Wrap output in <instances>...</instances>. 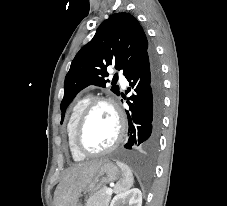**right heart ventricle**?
Wrapping results in <instances>:
<instances>
[{
	"label": "right heart ventricle",
	"mask_w": 227,
	"mask_h": 206,
	"mask_svg": "<svg viewBox=\"0 0 227 206\" xmlns=\"http://www.w3.org/2000/svg\"><path fill=\"white\" fill-rule=\"evenodd\" d=\"M90 100H91L90 96H83L80 99H78L70 111L68 121L66 124L67 144H68L70 154L75 161H82L83 159H85V156L80 154L74 148L73 134H74V129L79 119V116L82 113L85 106L90 102Z\"/></svg>",
	"instance_id": "obj_1"
}]
</instances>
